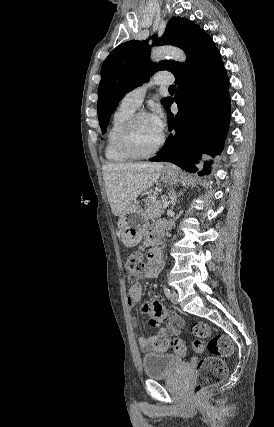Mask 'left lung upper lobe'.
I'll list each match as a JSON object with an SVG mask.
<instances>
[{"label":"left lung upper lobe","mask_w":274,"mask_h":427,"mask_svg":"<svg viewBox=\"0 0 274 427\" xmlns=\"http://www.w3.org/2000/svg\"><path fill=\"white\" fill-rule=\"evenodd\" d=\"M208 38L211 37L199 25L180 17L169 20L161 38L152 36L157 46L174 45L184 50L187 61L196 47ZM149 54L147 41H128L117 46L104 61L97 103L102 133L106 132L111 114L126 93L147 81L155 71L167 70L175 75L185 66L172 60L152 63ZM169 98L162 100L164 106Z\"/></svg>","instance_id":"1"}]
</instances>
